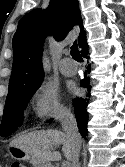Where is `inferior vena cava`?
I'll list each match as a JSON object with an SVG mask.
<instances>
[{
  "label": "inferior vena cava",
  "mask_w": 125,
  "mask_h": 167,
  "mask_svg": "<svg viewBox=\"0 0 125 167\" xmlns=\"http://www.w3.org/2000/svg\"><path fill=\"white\" fill-rule=\"evenodd\" d=\"M60 122L64 132L69 137L72 143V156L70 167L79 166V153H80V134L77 127V122L74 115L68 110L63 109L59 114Z\"/></svg>",
  "instance_id": "obj_1"
}]
</instances>
